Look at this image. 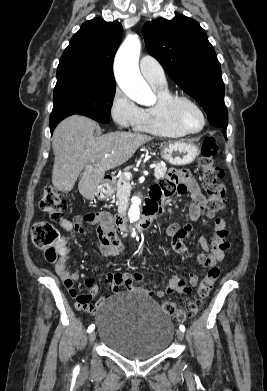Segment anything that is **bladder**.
Returning <instances> with one entry per match:
<instances>
[{
    "instance_id": "obj_1",
    "label": "bladder",
    "mask_w": 267,
    "mask_h": 391,
    "mask_svg": "<svg viewBox=\"0 0 267 391\" xmlns=\"http://www.w3.org/2000/svg\"><path fill=\"white\" fill-rule=\"evenodd\" d=\"M96 324L100 341L129 359L165 352L174 336V324L158 303L132 291L109 296L97 310Z\"/></svg>"
}]
</instances>
